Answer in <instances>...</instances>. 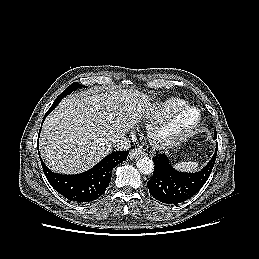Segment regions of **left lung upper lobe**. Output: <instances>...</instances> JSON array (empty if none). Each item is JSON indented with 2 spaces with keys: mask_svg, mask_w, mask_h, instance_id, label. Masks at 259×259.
Here are the masks:
<instances>
[{
  "mask_svg": "<svg viewBox=\"0 0 259 259\" xmlns=\"http://www.w3.org/2000/svg\"><path fill=\"white\" fill-rule=\"evenodd\" d=\"M217 135V133H216V129H215V134H214V136H216Z\"/></svg>",
  "mask_w": 259,
  "mask_h": 259,
  "instance_id": "1",
  "label": "left lung upper lobe"
}]
</instances>
